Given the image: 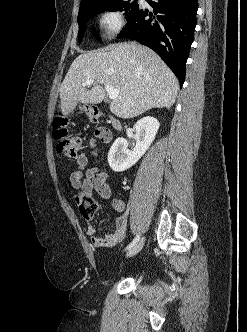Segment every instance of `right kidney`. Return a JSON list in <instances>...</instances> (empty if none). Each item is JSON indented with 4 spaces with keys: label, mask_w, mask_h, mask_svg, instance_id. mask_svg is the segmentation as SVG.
<instances>
[{
    "label": "right kidney",
    "mask_w": 247,
    "mask_h": 332,
    "mask_svg": "<svg viewBox=\"0 0 247 332\" xmlns=\"http://www.w3.org/2000/svg\"><path fill=\"white\" fill-rule=\"evenodd\" d=\"M156 118L147 116L140 119L134 126L136 145L132 151L124 138H117L108 153V163L115 172H122L132 167L148 150L159 129Z\"/></svg>",
    "instance_id": "right-kidney-1"
}]
</instances>
